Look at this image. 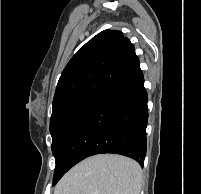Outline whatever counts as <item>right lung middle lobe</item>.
<instances>
[{
  "mask_svg": "<svg viewBox=\"0 0 201 194\" xmlns=\"http://www.w3.org/2000/svg\"><path fill=\"white\" fill-rule=\"evenodd\" d=\"M97 96H81L67 100L53 107L50 119L52 152L55 154L59 141L67 125L85 109ZM55 172V171H54Z\"/></svg>",
  "mask_w": 201,
  "mask_h": 194,
  "instance_id": "obj_1",
  "label": "right lung middle lobe"
}]
</instances>
